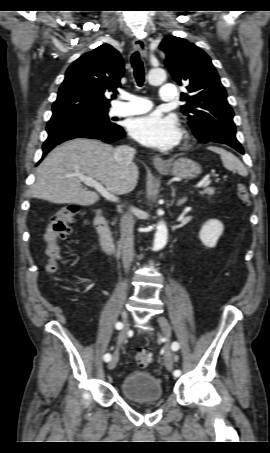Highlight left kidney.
Masks as SVG:
<instances>
[{
  "label": "left kidney",
  "mask_w": 270,
  "mask_h": 453,
  "mask_svg": "<svg viewBox=\"0 0 270 453\" xmlns=\"http://www.w3.org/2000/svg\"><path fill=\"white\" fill-rule=\"evenodd\" d=\"M223 230L224 226L219 220H208L202 225L199 232V239L206 247L213 248L216 246Z\"/></svg>",
  "instance_id": "1"
}]
</instances>
